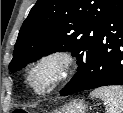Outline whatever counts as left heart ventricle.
<instances>
[{"label": "left heart ventricle", "instance_id": "1", "mask_svg": "<svg viewBox=\"0 0 123 113\" xmlns=\"http://www.w3.org/2000/svg\"><path fill=\"white\" fill-rule=\"evenodd\" d=\"M44 80H45L44 77L39 78V79H38V84H39V85L43 84Z\"/></svg>", "mask_w": 123, "mask_h": 113}]
</instances>
